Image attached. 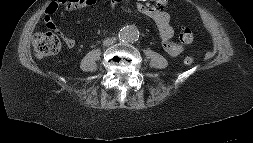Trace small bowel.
Masks as SVG:
<instances>
[{
  "instance_id": "1",
  "label": "small bowel",
  "mask_w": 253,
  "mask_h": 143,
  "mask_svg": "<svg viewBox=\"0 0 253 143\" xmlns=\"http://www.w3.org/2000/svg\"><path fill=\"white\" fill-rule=\"evenodd\" d=\"M125 0H112V5L116 6L118 3ZM136 4V8L140 13L145 16L152 18L158 26L160 37L162 40L163 49L170 56H178L182 53L184 47L181 43L176 42L173 39L174 27L172 25L171 17L169 13L165 10L168 5L167 0H155L152 2H147V0H132ZM96 0H91L88 4H94ZM51 13L48 9L45 11L44 21L46 26L59 33L62 37L64 44L68 48H73L75 46V40L60 31V29L53 22Z\"/></svg>"
}]
</instances>
